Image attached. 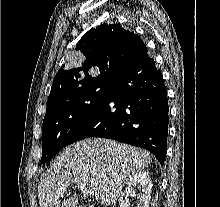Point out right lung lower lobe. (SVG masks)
<instances>
[{"label":"right lung lower lobe","instance_id":"1","mask_svg":"<svg viewBox=\"0 0 220 207\" xmlns=\"http://www.w3.org/2000/svg\"><path fill=\"white\" fill-rule=\"evenodd\" d=\"M167 136L166 87L146 53L108 83L100 106L75 130L69 144L88 137L113 139L144 148L163 164Z\"/></svg>","mask_w":220,"mask_h":207}]
</instances>
